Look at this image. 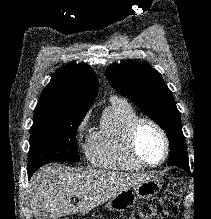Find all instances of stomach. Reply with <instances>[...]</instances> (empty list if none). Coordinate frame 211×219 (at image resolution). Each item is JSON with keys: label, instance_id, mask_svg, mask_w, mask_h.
<instances>
[{"label": "stomach", "instance_id": "0dacf381", "mask_svg": "<svg viewBox=\"0 0 211 219\" xmlns=\"http://www.w3.org/2000/svg\"><path fill=\"white\" fill-rule=\"evenodd\" d=\"M162 185L155 177H149L144 182L136 185L133 189H127L111 198L106 204V208L112 212H121L131 208L136 203L137 198L147 199L157 194Z\"/></svg>", "mask_w": 211, "mask_h": 219}]
</instances>
